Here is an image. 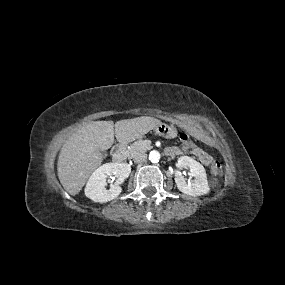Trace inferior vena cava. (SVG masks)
I'll return each mask as SVG.
<instances>
[{
  "label": "inferior vena cava",
  "mask_w": 285,
  "mask_h": 285,
  "mask_svg": "<svg viewBox=\"0 0 285 285\" xmlns=\"http://www.w3.org/2000/svg\"><path fill=\"white\" fill-rule=\"evenodd\" d=\"M147 159V154L146 153H137L134 157L133 160L135 163H142L145 162Z\"/></svg>",
  "instance_id": "inferior-vena-cava-1"
}]
</instances>
